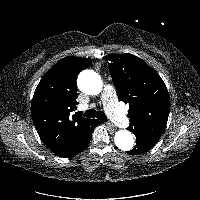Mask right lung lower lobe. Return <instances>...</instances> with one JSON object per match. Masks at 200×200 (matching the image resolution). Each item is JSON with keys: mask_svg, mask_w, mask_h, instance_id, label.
<instances>
[{"mask_svg": "<svg viewBox=\"0 0 200 200\" xmlns=\"http://www.w3.org/2000/svg\"><path fill=\"white\" fill-rule=\"evenodd\" d=\"M98 124H100V122L98 120L93 119L92 122L89 123L86 130L81 135L79 141L77 142L72 152L67 156H64V158H71L82 152L88 146L91 140L92 132Z\"/></svg>", "mask_w": 200, "mask_h": 200, "instance_id": "98d812e1", "label": "right lung lower lobe"}]
</instances>
